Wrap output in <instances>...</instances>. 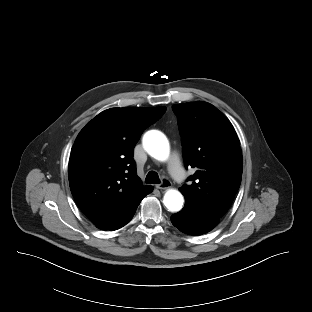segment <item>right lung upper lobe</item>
<instances>
[{
    "label": "right lung upper lobe",
    "instance_id": "cb5924a9",
    "mask_svg": "<svg viewBox=\"0 0 312 312\" xmlns=\"http://www.w3.org/2000/svg\"><path fill=\"white\" fill-rule=\"evenodd\" d=\"M165 111L166 107L111 108L78 134L69 160L70 189L97 228H118L151 187L143 186L136 174L133 148L143 130Z\"/></svg>",
    "mask_w": 312,
    "mask_h": 312
}]
</instances>
